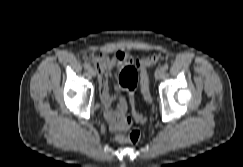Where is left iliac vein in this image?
Segmentation results:
<instances>
[{
  "label": "left iliac vein",
  "instance_id": "left-iliac-vein-1",
  "mask_svg": "<svg viewBox=\"0 0 243 167\" xmlns=\"http://www.w3.org/2000/svg\"><path fill=\"white\" fill-rule=\"evenodd\" d=\"M165 72L162 68H158L155 72L156 79H161L164 76Z\"/></svg>",
  "mask_w": 243,
  "mask_h": 167
}]
</instances>
